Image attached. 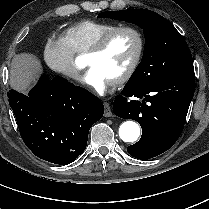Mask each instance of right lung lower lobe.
<instances>
[{
	"label": "right lung lower lobe",
	"instance_id": "98d812e1",
	"mask_svg": "<svg viewBox=\"0 0 209 209\" xmlns=\"http://www.w3.org/2000/svg\"><path fill=\"white\" fill-rule=\"evenodd\" d=\"M20 135L37 157L66 165L86 148L91 126L104 113L101 101L62 77L41 76L29 95L8 92Z\"/></svg>",
	"mask_w": 209,
	"mask_h": 209
}]
</instances>
